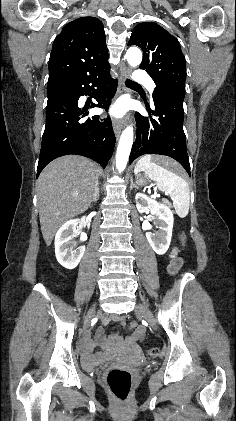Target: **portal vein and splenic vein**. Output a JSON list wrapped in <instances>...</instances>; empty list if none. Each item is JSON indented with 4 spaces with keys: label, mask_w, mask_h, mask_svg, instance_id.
I'll use <instances>...</instances> for the list:
<instances>
[{
    "label": "portal vein and splenic vein",
    "mask_w": 236,
    "mask_h": 421,
    "mask_svg": "<svg viewBox=\"0 0 236 421\" xmlns=\"http://www.w3.org/2000/svg\"><path fill=\"white\" fill-rule=\"evenodd\" d=\"M73 196H78V194H73Z\"/></svg>",
    "instance_id": "obj_1"
}]
</instances>
